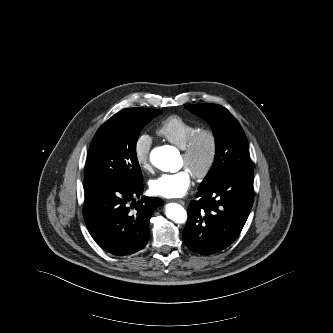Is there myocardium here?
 Listing matches in <instances>:
<instances>
[{
	"label": "myocardium",
	"mask_w": 333,
	"mask_h": 333,
	"mask_svg": "<svg viewBox=\"0 0 333 333\" xmlns=\"http://www.w3.org/2000/svg\"><path fill=\"white\" fill-rule=\"evenodd\" d=\"M203 140L207 141V156L201 169L191 172L192 177L196 180L206 178L215 165L218 150L217 136L211 129H199L182 149V156L186 161H190Z\"/></svg>",
	"instance_id": "myocardium-1"
}]
</instances>
